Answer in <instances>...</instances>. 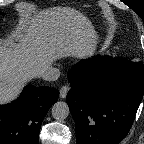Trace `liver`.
<instances>
[{
    "instance_id": "liver-1",
    "label": "liver",
    "mask_w": 144,
    "mask_h": 144,
    "mask_svg": "<svg viewBox=\"0 0 144 144\" xmlns=\"http://www.w3.org/2000/svg\"><path fill=\"white\" fill-rule=\"evenodd\" d=\"M14 37L16 41L0 42V104L14 100L24 84L57 59L92 56L98 39L84 14L59 6L22 12Z\"/></svg>"
}]
</instances>
